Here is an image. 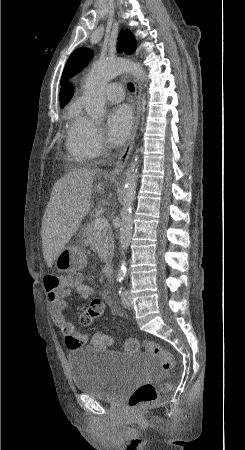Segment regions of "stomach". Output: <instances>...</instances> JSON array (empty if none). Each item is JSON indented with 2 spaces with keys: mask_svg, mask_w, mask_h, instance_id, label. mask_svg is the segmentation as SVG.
<instances>
[{
  "mask_svg": "<svg viewBox=\"0 0 245 450\" xmlns=\"http://www.w3.org/2000/svg\"><path fill=\"white\" fill-rule=\"evenodd\" d=\"M87 259L81 246L66 247L55 259V267L61 272H73L83 269Z\"/></svg>",
  "mask_w": 245,
  "mask_h": 450,
  "instance_id": "1",
  "label": "stomach"
}]
</instances>
